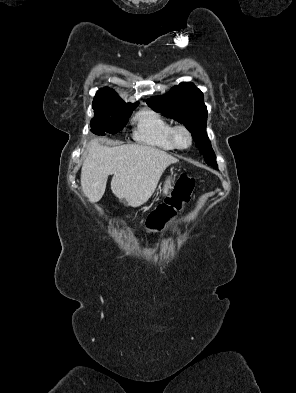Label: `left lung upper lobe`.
Masks as SVG:
<instances>
[{"instance_id":"1","label":"left lung upper lobe","mask_w":296,"mask_h":393,"mask_svg":"<svg viewBox=\"0 0 296 393\" xmlns=\"http://www.w3.org/2000/svg\"><path fill=\"white\" fill-rule=\"evenodd\" d=\"M150 108L185 125L208 165L217 169L215 153L206 134L207 108L202 92L193 83L174 86L166 95L147 100Z\"/></svg>"}]
</instances>
